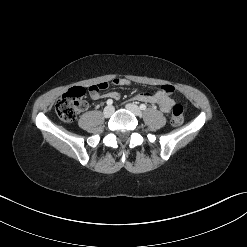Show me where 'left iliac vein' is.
Here are the masks:
<instances>
[{
	"label": "left iliac vein",
	"instance_id": "1",
	"mask_svg": "<svg viewBox=\"0 0 247 247\" xmlns=\"http://www.w3.org/2000/svg\"><path fill=\"white\" fill-rule=\"evenodd\" d=\"M126 108L136 116H139L141 114L140 108L134 103L127 104Z\"/></svg>",
	"mask_w": 247,
	"mask_h": 247
}]
</instances>
